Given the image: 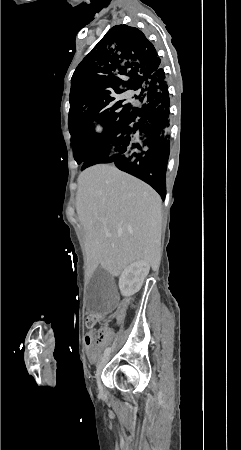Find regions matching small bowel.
<instances>
[{
    "label": "small bowel",
    "instance_id": "1",
    "mask_svg": "<svg viewBox=\"0 0 241 450\" xmlns=\"http://www.w3.org/2000/svg\"><path fill=\"white\" fill-rule=\"evenodd\" d=\"M115 316H116V318L121 319V318H123L124 313H123V311L118 310V311H116ZM108 332L109 331L107 330L106 327L105 328H103V327L98 328V330H97V333H98L97 337H98V339L100 341H105L107 339V333ZM95 338H96L95 333L90 332L89 334L86 335L85 340H84L85 341V345L87 347L89 360L91 362H96L98 357H99V355H100V353H101V350H100L99 347H96V348L93 347V343H94Z\"/></svg>",
    "mask_w": 241,
    "mask_h": 450
}]
</instances>
